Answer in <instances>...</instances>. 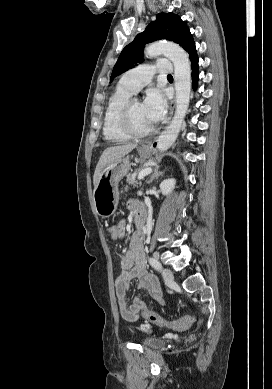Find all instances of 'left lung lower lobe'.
Returning a JSON list of instances; mask_svg holds the SVG:
<instances>
[{
  "label": "left lung lower lobe",
  "mask_w": 272,
  "mask_h": 389,
  "mask_svg": "<svg viewBox=\"0 0 272 389\" xmlns=\"http://www.w3.org/2000/svg\"><path fill=\"white\" fill-rule=\"evenodd\" d=\"M190 60H191V68H192V86L194 89L197 88L198 84V56L195 47L192 49V51L189 53ZM156 144H154L155 146Z\"/></svg>",
  "instance_id": "left-lung-lower-lobe-1"
}]
</instances>
